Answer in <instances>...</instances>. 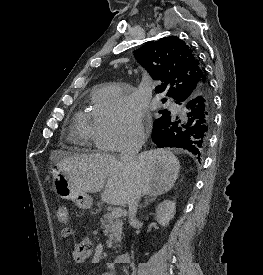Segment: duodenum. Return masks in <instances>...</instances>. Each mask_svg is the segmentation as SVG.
I'll use <instances>...</instances> for the list:
<instances>
[{"instance_id": "410a0bca", "label": "duodenum", "mask_w": 263, "mask_h": 275, "mask_svg": "<svg viewBox=\"0 0 263 275\" xmlns=\"http://www.w3.org/2000/svg\"><path fill=\"white\" fill-rule=\"evenodd\" d=\"M130 259V254L128 252H123L117 255L114 259L115 264L126 263Z\"/></svg>"}]
</instances>
